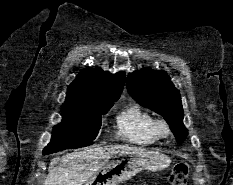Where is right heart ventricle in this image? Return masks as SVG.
<instances>
[{
    "label": "right heart ventricle",
    "instance_id": "1",
    "mask_svg": "<svg viewBox=\"0 0 233 185\" xmlns=\"http://www.w3.org/2000/svg\"><path fill=\"white\" fill-rule=\"evenodd\" d=\"M155 117L138 104L124 108L116 117L119 137L131 144L150 145L159 140Z\"/></svg>",
    "mask_w": 233,
    "mask_h": 185
}]
</instances>
